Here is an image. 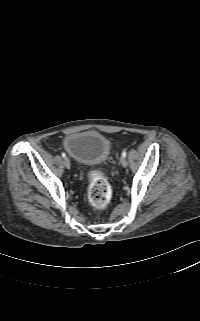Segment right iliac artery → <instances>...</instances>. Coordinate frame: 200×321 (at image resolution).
Here are the masks:
<instances>
[{
  "label": "right iliac artery",
  "instance_id": "obj_1",
  "mask_svg": "<svg viewBox=\"0 0 200 321\" xmlns=\"http://www.w3.org/2000/svg\"><path fill=\"white\" fill-rule=\"evenodd\" d=\"M61 155H62V157H64V158L66 157V154H65V153H62Z\"/></svg>",
  "mask_w": 200,
  "mask_h": 321
}]
</instances>
